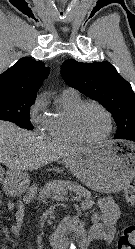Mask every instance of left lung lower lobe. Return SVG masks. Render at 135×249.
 I'll list each match as a JSON object with an SVG mask.
<instances>
[{
	"instance_id": "obj_1",
	"label": "left lung lower lobe",
	"mask_w": 135,
	"mask_h": 249,
	"mask_svg": "<svg viewBox=\"0 0 135 249\" xmlns=\"http://www.w3.org/2000/svg\"><path fill=\"white\" fill-rule=\"evenodd\" d=\"M127 140H132V141H135V136H133V137H129Z\"/></svg>"
}]
</instances>
